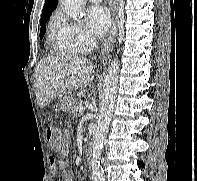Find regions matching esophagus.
Returning <instances> with one entry per match:
<instances>
[{
    "mask_svg": "<svg viewBox=\"0 0 197 181\" xmlns=\"http://www.w3.org/2000/svg\"><path fill=\"white\" fill-rule=\"evenodd\" d=\"M118 8H119V0H114L113 1V23H112V27L109 32V35L107 39L105 40L104 46L102 48L103 60H106V58L112 51L114 43H115V38L118 32V22H119L118 21Z\"/></svg>",
    "mask_w": 197,
    "mask_h": 181,
    "instance_id": "esophagus-1",
    "label": "esophagus"
}]
</instances>
